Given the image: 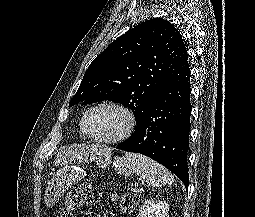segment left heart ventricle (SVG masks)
<instances>
[{
    "mask_svg": "<svg viewBox=\"0 0 255 217\" xmlns=\"http://www.w3.org/2000/svg\"><path fill=\"white\" fill-rule=\"evenodd\" d=\"M85 125L93 135L108 138L121 132L125 118L113 108L101 107L89 113Z\"/></svg>",
    "mask_w": 255,
    "mask_h": 217,
    "instance_id": "1",
    "label": "left heart ventricle"
}]
</instances>
